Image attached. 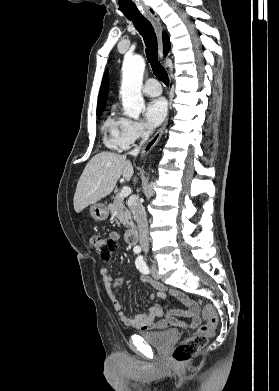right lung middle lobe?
<instances>
[{
  "instance_id": "dd1d6c3e",
  "label": "right lung middle lobe",
  "mask_w": 279,
  "mask_h": 391,
  "mask_svg": "<svg viewBox=\"0 0 279 391\" xmlns=\"http://www.w3.org/2000/svg\"><path fill=\"white\" fill-rule=\"evenodd\" d=\"M103 110H104V109H98V110H97V116H100V115L103 113Z\"/></svg>"
}]
</instances>
